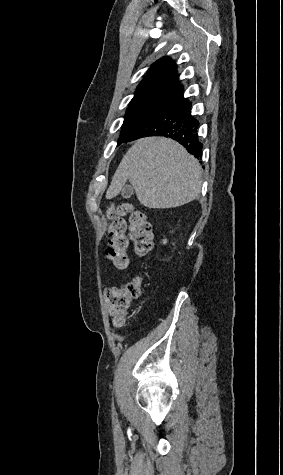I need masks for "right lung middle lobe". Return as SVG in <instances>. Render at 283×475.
<instances>
[{
  "mask_svg": "<svg viewBox=\"0 0 283 475\" xmlns=\"http://www.w3.org/2000/svg\"><path fill=\"white\" fill-rule=\"evenodd\" d=\"M175 89H161L133 97L127 109L118 145L151 113L174 93Z\"/></svg>",
  "mask_w": 283,
  "mask_h": 475,
  "instance_id": "1",
  "label": "right lung middle lobe"
}]
</instances>
